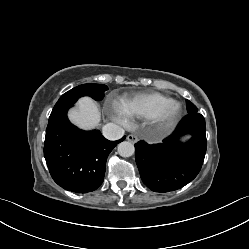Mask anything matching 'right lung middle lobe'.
I'll use <instances>...</instances> for the list:
<instances>
[{"label":"right lung middle lobe","instance_id":"dd1d6c3e","mask_svg":"<svg viewBox=\"0 0 249 249\" xmlns=\"http://www.w3.org/2000/svg\"><path fill=\"white\" fill-rule=\"evenodd\" d=\"M106 90H108V87L103 84L79 85L60 97V99L55 104L52 113H55L64 107L72 106L82 96H90L93 99L100 101L103 99L104 92Z\"/></svg>","mask_w":249,"mask_h":249}]
</instances>
